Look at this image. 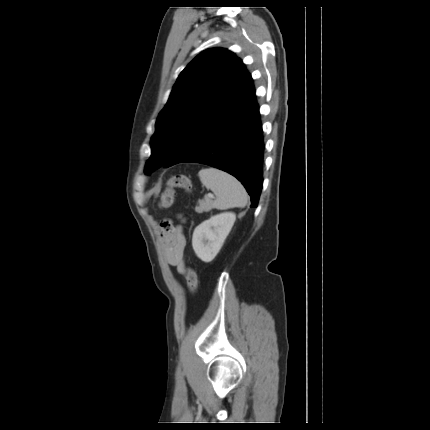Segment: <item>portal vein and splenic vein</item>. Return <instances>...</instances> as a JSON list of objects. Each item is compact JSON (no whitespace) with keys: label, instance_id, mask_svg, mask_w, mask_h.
<instances>
[{"label":"portal vein and splenic vein","instance_id":"18ae733b","mask_svg":"<svg viewBox=\"0 0 430 430\" xmlns=\"http://www.w3.org/2000/svg\"><path fill=\"white\" fill-rule=\"evenodd\" d=\"M207 196H208V197H213V194L208 193V194H207Z\"/></svg>","mask_w":430,"mask_h":430}]
</instances>
